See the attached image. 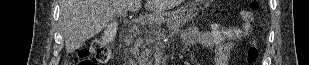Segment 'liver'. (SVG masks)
I'll use <instances>...</instances> for the list:
<instances>
[{
	"label": "liver",
	"mask_w": 309,
	"mask_h": 65,
	"mask_svg": "<svg viewBox=\"0 0 309 65\" xmlns=\"http://www.w3.org/2000/svg\"><path fill=\"white\" fill-rule=\"evenodd\" d=\"M183 0H146L145 9L157 15ZM141 0H61L60 26L68 53L101 32L117 14L136 12Z\"/></svg>",
	"instance_id": "1"
}]
</instances>
